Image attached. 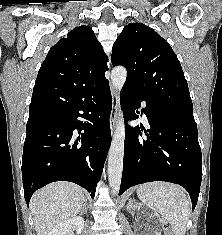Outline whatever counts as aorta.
Masks as SVG:
<instances>
[{
    "mask_svg": "<svg viewBox=\"0 0 222 235\" xmlns=\"http://www.w3.org/2000/svg\"><path fill=\"white\" fill-rule=\"evenodd\" d=\"M126 76L127 70L123 66H117L111 72V82L118 94H120L125 83ZM124 140L125 125L123 113L119 105V120L113 135L108 156V181L113 195L117 194L120 189L123 171Z\"/></svg>",
    "mask_w": 222,
    "mask_h": 235,
    "instance_id": "aorta-1",
    "label": "aorta"
}]
</instances>
